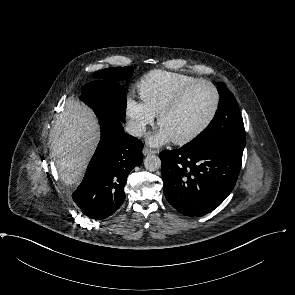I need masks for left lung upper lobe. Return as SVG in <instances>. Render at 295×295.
Returning <instances> with one entry per match:
<instances>
[{"label": "left lung upper lobe", "instance_id": "5c2ea615", "mask_svg": "<svg viewBox=\"0 0 295 295\" xmlns=\"http://www.w3.org/2000/svg\"><path fill=\"white\" fill-rule=\"evenodd\" d=\"M219 106L209 126L189 145L198 148L208 145H223L243 152L246 135L238 103L224 83H218Z\"/></svg>", "mask_w": 295, "mask_h": 295}]
</instances>
